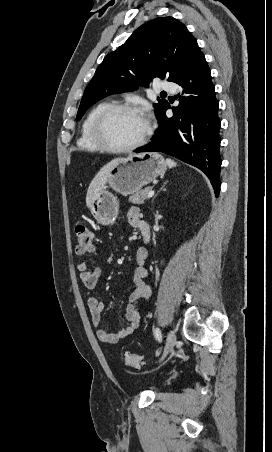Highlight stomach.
<instances>
[{
  "mask_svg": "<svg viewBox=\"0 0 272 452\" xmlns=\"http://www.w3.org/2000/svg\"><path fill=\"white\" fill-rule=\"evenodd\" d=\"M167 164L160 154L153 152L132 153L119 158L110 170L103 189L94 198L90 213L100 225H111L118 216L119 202L109 192L127 196L138 192L143 186L165 173Z\"/></svg>",
  "mask_w": 272,
  "mask_h": 452,
  "instance_id": "stomach-1",
  "label": "stomach"
}]
</instances>
